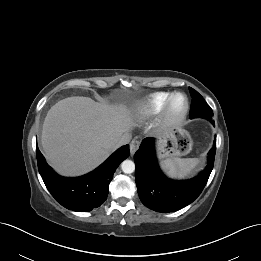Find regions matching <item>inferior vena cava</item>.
Here are the masks:
<instances>
[{
  "label": "inferior vena cava",
  "mask_w": 261,
  "mask_h": 261,
  "mask_svg": "<svg viewBox=\"0 0 261 261\" xmlns=\"http://www.w3.org/2000/svg\"><path fill=\"white\" fill-rule=\"evenodd\" d=\"M131 140V135L129 133H124L118 141L119 145L127 144Z\"/></svg>",
  "instance_id": "inferior-vena-cava-1"
}]
</instances>
